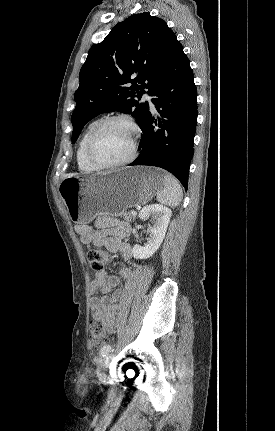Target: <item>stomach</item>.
I'll list each match as a JSON object with an SVG mask.
<instances>
[{
    "instance_id": "stomach-1",
    "label": "stomach",
    "mask_w": 275,
    "mask_h": 431,
    "mask_svg": "<svg viewBox=\"0 0 275 431\" xmlns=\"http://www.w3.org/2000/svg\"><path fill=\"white\" fill-rule=\"evenodd\" d=\"M163 172L153 167L123 168L90 177H66L60 196L70 219L79 225L98 214L120 216L127 208L150 201L163 188Z\"/></svg>"
}]
</instances>
